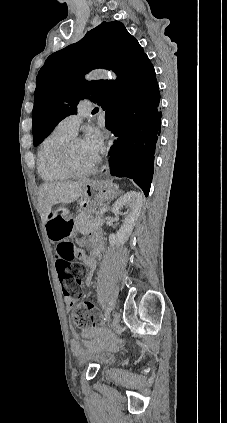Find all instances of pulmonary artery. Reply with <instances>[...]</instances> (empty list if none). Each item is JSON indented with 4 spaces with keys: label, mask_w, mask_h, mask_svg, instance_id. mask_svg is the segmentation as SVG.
Segmentation results:
<instances>
[{
    "label": "pulmonary artery",
    "mask_w": 227,
    "mask_h": 423,
    "mask_svg": "<svg viewBox=\"0 0 227 423\" xmlns=\"http://www.w3.org/2000/svg\"><path fill=\"white\" fill-rule=\"evenodd\" d=\"M91 112L90 111H79L76 115H69L64 118L60 123L59 127L70 133L71 135H76L78 132V127L81 124L82 120H90Z\"/></svg>",
    "instance_id": "e3ab8cb5"
}]
</instances>
